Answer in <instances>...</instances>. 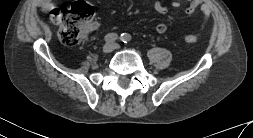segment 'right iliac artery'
Segmentation results:
<instances>
[{
    "label": "right iliac artery",
    "mask_w": 253,
    "mask_h": 138,
    "mask_svg": "<svg viewBox=\"0 0 253 138\" xmlns=\"http://www.w3.org/2000/svg\"><path fill=\"white\" fill-rule=\"evenodd\" d=\"M118 38V35L115 34V33H109L107 34L105 37H104V40L107 42V43H112L114 42L115 40H117Z\"/></svg>",
    "instance_id": "obj_1"
}]
</instances>
